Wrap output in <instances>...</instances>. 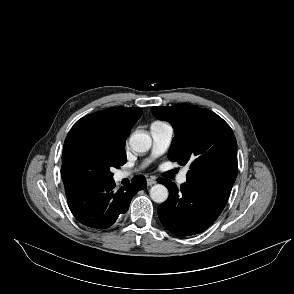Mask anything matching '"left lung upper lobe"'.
<instances>
[{
    "label": "left lung upper lobe",
    "instance_id": "left-lung-upper-lobe-1",
    "mask_svg": "<svg viewBox=\"0 0 294 294\" xmlns=\"http://www.w3.org/2000/svg\"><path fill=\"white\" fill-rule=\"evenodd\" d=\"M152 113L174 128L168 158L189 164L187 178L232 173L236 178L237 142L230 126L214 112L189 104L152 107Z\"/></svg>",
    "mask_w": 294,
    "mask_h": 294
}]
</instances>
